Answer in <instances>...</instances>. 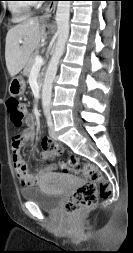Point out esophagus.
I'll return each instance as SVG.
<instances>
[{
  "mask_svg": "<svg viewBox=\"0 0 133 253\" xmlns=\"http://www.w3.org/2000/svg\"><path fill=\"white\" fill-rule=\"evenodd\" d=\"M55 10H56V1H51V2L47 5V7H46V9H45V12H44L43 15H42V18H44V19H49V18H51V17L54 15Z\"/></svg>",
  "mask_w": 133,
  "mask_h": 253,
  "instance_id": "34e87169",
  "label": "esophagus"
}]
</instances>
